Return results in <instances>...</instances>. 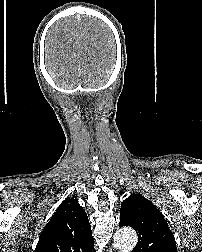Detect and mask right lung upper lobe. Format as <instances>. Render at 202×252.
I'll list each match as a JSON object with an SVG mask.
<instances>
[{
  "mask_svg": "<svg viewBox=\"0 0 202 252\" xmlns=\"http://www.w3.org/2000/svg\"><path fill=\"white\" fill-rule=\"evenodd\" d=\"M85 210L74 197L67 198L46 224L35 252H95Z\"/></svg>",
  "mask_w": 202,
  "mask_h": 252,
  "instance_id": "right-lung-upper-lobe-1",
  "label": "right lung upper lobe"
}]
</instances>
